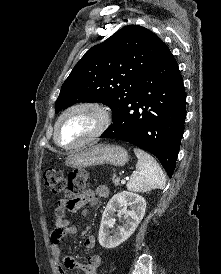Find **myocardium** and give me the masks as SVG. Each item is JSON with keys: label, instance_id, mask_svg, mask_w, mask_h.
Listing matches in <instances>:
<instances>
[{"label": "myocardium", "instance_id": "f54148a6", "mask_svg": "<svg viewBox=\"0 0 221 274\" xmlns=\"http://www.w3.org/2000/svg\"><path fill=\"white\" fill-rule=\"evenodd\" d=\"M81 110L90 111L96 117L97 123L94 130L78 143H75V144L61 143L58 138L59 127L61 122L69 114L75 111H81ZM111 122H112L111 112L106 105L99 102H95V101L77 102L67 107L57 118L54 126V134H53L54 141L58 146L64 149H77L91 143L92 141L100 137L108 129Z\"/></svg>", "mask_w": 221, "mask_h": 274}]
</instances>
